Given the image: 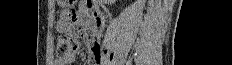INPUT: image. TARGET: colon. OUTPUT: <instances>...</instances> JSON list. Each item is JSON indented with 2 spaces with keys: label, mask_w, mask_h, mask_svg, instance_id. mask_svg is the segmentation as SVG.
<instances>
[{
  "label": "colon",
  "mask_w": 232,
  "mask_h": 65,
  "mask_svg": "<svg viewBox=\"0 0 232 65\" xmlns=\"http://www.w3.org/2000/svg\"><path fill=\"white\" fill-rule=\"evenodd\" d=\"M69 12H73V11H69ZM76 46H77V42L73 36L69 35L68 37H63L62 35H60L57 40V48H56L57 56L59 58H63L69 55L70 53L75 51Z\"/></svg>",
  "instance_id": "1"
}]
</instances>
